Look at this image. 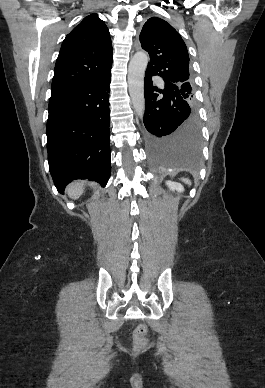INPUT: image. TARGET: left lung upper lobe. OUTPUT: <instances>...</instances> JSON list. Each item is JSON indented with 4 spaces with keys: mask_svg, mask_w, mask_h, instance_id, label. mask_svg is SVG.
<instances>
[{
    "mask_svg": "<svg viewBox=\"0 0 265 388\" xmlns=\"http://www.w3.org/2000/svg\"><path fill=\"white\" fill-rule=\"evenodd\" d=\"M140 42L150 55L147 71L181 89L184 101L195 106L189 74V55L180 34L163 19L152 17L144 24Z\"/></svg>",
    "mask_w": 265,
    "mask_h": 388,
    "instance_id": "obj_1",
    "label": "left lung upper lobe"
}]
</instances>
